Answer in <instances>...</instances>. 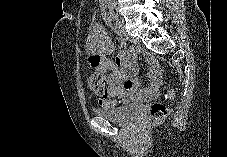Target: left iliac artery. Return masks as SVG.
Here are the masks:
<instances>
[{
	"label": "left iliac artery",
	"instance_id": "1",
	"mask_svg": "<svg viewBox=\"0 0 227 157\" xmlns=\"http://www.w3.org/2000/svg\"><path fill=\"white\" fill-rule=\"evenodd\" d=\"M116 26H117L118 28H120V26H121L120 22H118V19H117V22H116Z\"/></svg>",
	"mask_w": 227,
	"mask_h": 157
}]
</instances>
